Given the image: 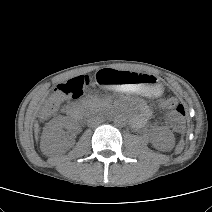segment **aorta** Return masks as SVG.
Returning a JSON list of instances; mask_svg holds the SVG:
<instances>
[{"instance_id":"aorta-1","label":"aorta","mask_w":212,"mask_h":212,"mask_svg":"<svg viewBox=\"0 0 212 212\" xmlns=\"http://www.w3.org/2000/svg\"><path fill=\"white\" fill-rule=\"evenodd\" d=\"M116 125H124L125 124V118L121 115L117 116L114 120Z\"/></svg>"}]
</instances>
